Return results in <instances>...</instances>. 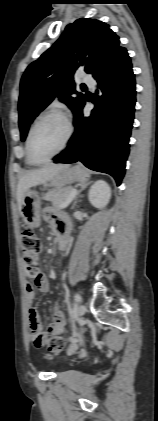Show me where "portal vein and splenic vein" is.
I'll use <instances>...</instances> for the list:
<instances>
[{
    "label": "portal vein and splenic vein",
    "instance_id": "obj_1",
    "mask_svg": "<svg viewBox=\"0 0 158 421\" xmlns=\"http://www.w3.org/2000/svg\"><path fill=\"white\" fill-rule=\"evenodd\" d=\"M76 194H77V190L73 189L70 192L67 201L60 208L63 209L65 207H67L69 205V203L74 199V197L76 196Z\"/></svg>",
    "mask_w": 158,
    "mask_h": 421
}]
</instances>
